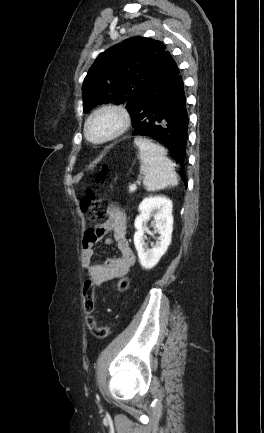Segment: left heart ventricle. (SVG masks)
<instances>
[{"label":"left heart ventricle","instance_id":"left-heart-ventricle-1","mask_svg":"<svg viewBox=\"0 0 264 433\" xmlns=\"http://www.w3.org/2000/svg\"><path fill=\"white\" fill-rule=\"evenodd\" d=\"M115 125L116 118L113 115H103L91 124L90 133L98 137L113 129Z\"/></svg>","mask_w":264,"mask_h":433}]
</instances>
